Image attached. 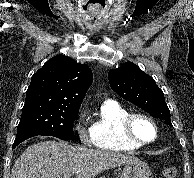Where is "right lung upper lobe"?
Segmentation results:
<instances>
[{"label":"right lung upper lobe","instance_id":"1","mask_svg":"<svg viewBox=\"0 0 194 178\" xmlns=\"http://www.w3.org/2000/svg\"><path fill=\"white\" fill-rule=\"evenodd\" d=\"M92 80L93 74L88 65L57 55L34 73L26 100L48 99L80 108Z\"/></svg>","mask_w":194,"mask_h":178}]
</instances>
